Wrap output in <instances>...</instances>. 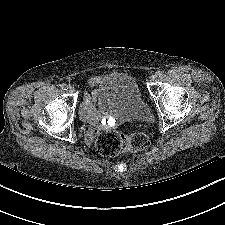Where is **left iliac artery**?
I'll list each match as a JSON object with an SVG mask.
<instances>
[{"label": "left iliac artery", "instance_id": "obj_1", "mask_svg": "<svg viewBox=\"0 0 225 225\" xmlns=\"http://www.w3.org/2000/svg\"><path fill=\"white\" fill-rule=\"evenodd\" d=\"M155 76L160 78V77L163 76V72L162 71H157Z\"/></svg>", "mask_w": 225, "mask_h": 225}]
</instances>
